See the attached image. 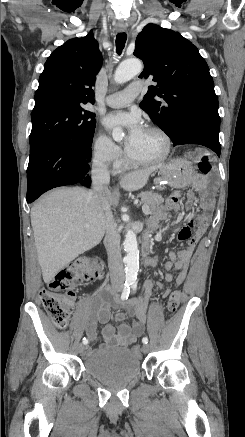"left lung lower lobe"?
Segmentation results:
<instances>
[{"instance_id": "0a47b994", "label": "left lung lower lobe", "mask_w": 245, "mask_h": 437, "mask_svg": "<svg viewBox=\"0 0 245 437\" xmlns=\"http://www.w3.org/2000/svg\"><path fill=\"white\" fill-rule=\"evenodd\" d=\"M219 130V127L211 123L195 122L188 125L173 144H200L212 149L220 156Z\"/></svg>"}]
</instances>
